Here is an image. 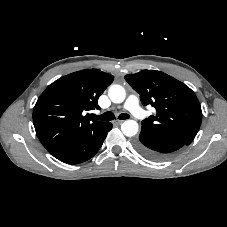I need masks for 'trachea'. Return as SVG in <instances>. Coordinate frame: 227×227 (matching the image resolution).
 I'll list each match as a JSON object with an SVG mask.
<instances>
[{
    "mask_svg": "<svg viewBox=\"0 0 227 227\" xmlns=\"http://www.w3.org/2000/svg\"><path fill=\"white\" fill-rule=\"evenodd\" d=\"M130 116L128 114L122 113L118 116V119L125 120L128 119ZM95 119L103 120V121H110L115 119V115L112 112H105L102 115L94 116Z\"/></svg>",
    "mask_w": 227,
    "mask_h": 227,
    "instance_id": "1",
    "label": "trachea"
}]
</instances>
